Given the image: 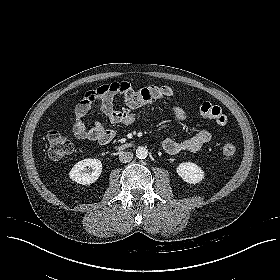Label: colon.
Returning <instances> with one entry per match:
<instances>
[{
	"label": "colon",
	"mask_w": 280,
	"mask_h": 280,
	"mask_svg": "<svg viewBox=\"0 0 280 280\" xmlns=\"http://www.w3.org/2000/svg\"><path fill=\"white\" fill-rule=\"evenodd\" d=\"M118 84V83H113ZM114 88L113 90H115ZM138 92L129 90L123 94V98L130 100L136 98ZM200 113L203 117L213 120L219 126H225L228 122L227 116L222 112L221 108L210 103H204L200 107ZM92 136L101 137L104 143L111 140V134L107 130H100L92 132ZM48 155L50 158L58 159L73 152V145L69 139L62 136L58 131L54 130L47 135ZM236 148L232 143H227L222 148V154L225 159H231L235 154Z\"/></svg>",
	"instance_id": "1"
}]
</instances>
